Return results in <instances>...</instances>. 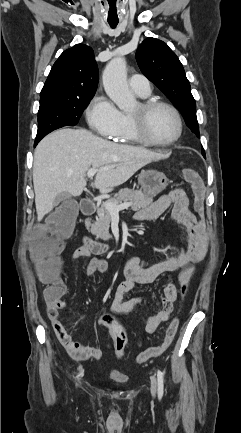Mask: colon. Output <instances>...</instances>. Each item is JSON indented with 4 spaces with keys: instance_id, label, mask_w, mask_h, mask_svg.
<instances>
[{
    "instance_id": "colon-1",
    "label": "colon",
    "mask_w": 241,
    "mask_h": 433,
    "mask_svg": "<svg viewBox=\"0 0 241 433\" xmlns=\"http://www.w3.org/2000/svg\"><path fill=\"white\" fill-rule=\"evenodd\" d=\"M185 178L191 183L194 193V209L198 214L203 213L204 185L198 173L193 169L183 171ZM81 213V206L75 200H60L56 207V213L48 219V224L40 232H36L30 246V253L37 264V272L40 279L49 286L44 291L47 302L58 298L65 287L64 282L59 277V254L63 248V240L67 238L73 229L74 214ZM190 277L186 274L180 276L179 286L182 294H185ZM105 320V328L112 333L115 354L120 357L124 354L127 346V337L123 329V323L119 322V314H102ZM179 322L174 319L166 329L161 345L147 348L139 353L137 362L143 363L161 355L166 348L173 342L178 330Z\"/></svg>"
}]
</instances>
